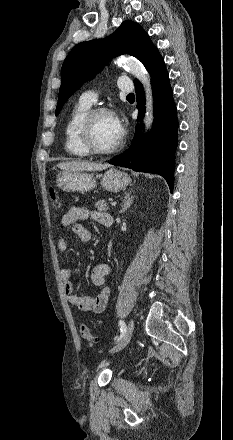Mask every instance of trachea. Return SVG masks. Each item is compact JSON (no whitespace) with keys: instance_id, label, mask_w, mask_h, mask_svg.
<instances>
[{"instance_id":"1","label":"trachea","mask_w":233,"mask_h":440,"mask_svg":"<svg viewBox=\"0 0 233 440\" xmlns=\"http://www.w3.org/2000/svg\"><path fill=\"white\" fill-rule=\"evenodd\" d=\"M127 97H134V94L130 93V94L127 95Z\"/></svg>"}]
</instances>
